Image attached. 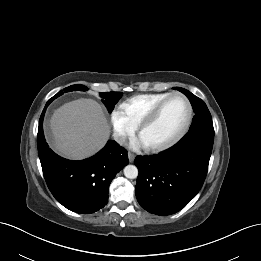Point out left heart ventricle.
Instances as JSON below:
<instances>
[{"instance_id":"obj_1","label":"left heart ventricle","mask_w":261,"mask_h":261,"mask_svg":"<svg viewBox=\"0 0 261 261\" xmlns=\"http://www.w3.org/2000/svg\"><path fill=\"white\" fill-rule=\"evenodd\" d=\"M187 117L185 102L174 97L162 108L156 120L140 135L144 145L164 143L173 138L183 127Z\"/></svg>"}]
</instances>
